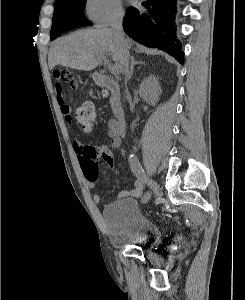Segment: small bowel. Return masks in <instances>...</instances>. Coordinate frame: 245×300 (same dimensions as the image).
<instances>
[{
    "label": "small bowel",
    "mask_w": 245,
    "mask_h": 300,
    "mask_svg": "<svg viewBox=\"0 0 245 300\" xmlns=\"http://www.w3.org/2000/svg\"><path fill=\"white\" fill-rule=\"evenodd\" d=\"M55 91L56 100L60 107V112L66 122L71 125V110L70 107L65 103L64 96L62 93L61 83L55 80ZM125 135V127H122L116 119H110L107 123V136L110 139L109 144L100 143L98 145L93 144H82L78 140H73V149L77 154L81 167L83 168V163L87 159L95 160L97 158H102L111 168H114V159L112 150L118 148L121 145L122 139ZM94 152V155L89 153ZM85 173V172H84ZM143 183L141 180H137L134 187L130 190L123 191L120 193V197H138L142 194ZM101 197L99 194L93 195V201L99 203Z\"/></svg>",
    "instance_id": "1"
}]
</instances>
